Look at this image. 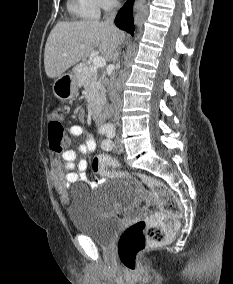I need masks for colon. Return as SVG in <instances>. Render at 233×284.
Returning a JSON list of instances; mask_svg holds the SVG:
<instances>
[{
    "label": "colon",
    "instance_id": "colon-1",
    "mask_svg": "<svg viewBox=\"0 0 233 284\" xmlns=\"http://www.w3.org/2000/svg\"><path fill=\"white\" fill-rule=\"evenodd\" d=\"M49 145L53 151L64 152L67 136L63 124L53 119L48 124ZM92 169L101 178H123L133 183L144 194L149 188L158 201L160 210L150 219L129 225L118 241V256L121 264L129 271L136 270L137 257L150 244L166 242L178 226L182 208L172 190L160 180L146 174H130L119 163L107 155L96 156Z\"/></svg>",
    "mask_w": 233,
    "mask_h": 284
}]
</instances>
